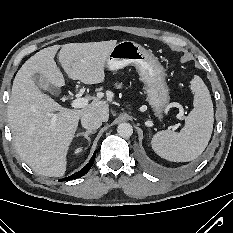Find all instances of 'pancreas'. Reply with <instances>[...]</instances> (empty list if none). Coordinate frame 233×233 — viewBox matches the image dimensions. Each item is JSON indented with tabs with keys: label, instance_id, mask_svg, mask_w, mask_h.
Masks as SVG:
<instances>
[{
	"label": "pancreas",
	"instance_id": "cf45deb5",
	"mask_svg": "<svg viewBox=\"0 0 233 233\" xmlns=\"http://www.w3.org/2000/svg\"><path fill=\"white\" fill-rule=\"evenodd\" d=\"M121 86H122L121 84H117L116 88H121Z\"/></svg>",
	"mask_w": 233,
	"mask_h": 233
}]
</instances>
